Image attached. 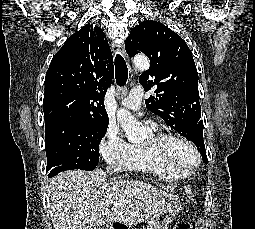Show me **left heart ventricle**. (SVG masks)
<instances>
[{"label": "left heart ventricle", "mask_w": 255, "mask_h": 229, "mask_svg": "<svg viewBox=\"0 0 255 229\" xmlns=\"http://www.w3.org/2000/svg\"><path fill=\"white\" fill-rule=\"evenodd\" d=\"M150 139L151 137L148 141H150ZM162 151L167 159L177 166L190 165L195 160V156L190 148L177 140L165 142L162 145Z\"/></svg>", "instance_id": "b2bd125f"}]
</instances>
